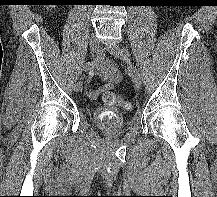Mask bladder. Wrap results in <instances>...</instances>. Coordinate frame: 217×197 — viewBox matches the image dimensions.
<instances>
[{"instance_id":"1","label":"bladder","mask_w":217,"mask_h":197,"mask_svg":"<svg viewBox=\"0 0 217 197\" xmlns=\"http://www.w3.org/2000/svg\"><path fill=\"white\" fill-rule=\"evenodd\" d=\"M93 120L101 131L108 134L121 133L126 128L124 115L115 109L99 107L93 112Z\"/></svg>"}]
</instances>
